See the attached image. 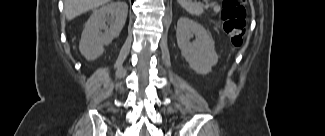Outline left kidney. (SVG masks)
<instances>
[{
    "mask_svg": "<svg viewBox=\"0 0 325 136\" xmlns=\"http://www.w3.org/2000/svg\"><path fill=\"white\" fill-rule=\"evenodd\" d=\"M195 36V41L190 39ZM177 44L189 66L198 74L206 75L218 62L214 41L199 23L180 17L176 30Z\"/></svg>",
    "mask_w": 325,
    "mask_h": 136,
    "instance_id": "left-kidney-1",
    "label": "left kidney"
}]
</instances>
